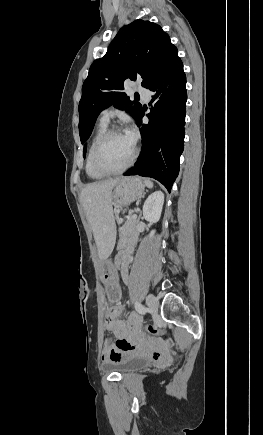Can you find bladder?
I'll list each match as a JSON object with an SVG mask.
<instances>
[{
	"label": "bladder",
	"instance_id": "31cf9c89",
	"mask_svg": "<svg viewBox=\"0 0 263 435\" xmlns=\"http://www.w3.org/2000/svg\"><path fill=\"white\" fill-rule=\"evenodd\" d=\"M147 363L148 360L145 357L130 354L121 360L105 364L103 368L106 371H115L120 374H127L145 367Z\"/></svg>",
	"mask_w": 263,
	"mask_h": 435
}]
</instances>
